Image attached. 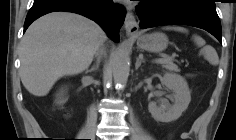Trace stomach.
I'll use <instances>...</instances> for the list:
<instances>
[{"label":"stomach","mask_w":236,"mask_h":140,"mask_svg":"<svg viewBox=\"0 0 236 140\" xmlns=\"http://www.w3.org/2000/svg\"><path fill=\"white\" fill-rule=\"evenodd\" d=\"M137 45L146 51L161 52L166 49L168 38L165 34L160 32L140 35L137 38Z\"/></svg>","instance_id":"1"}]
</instances>
